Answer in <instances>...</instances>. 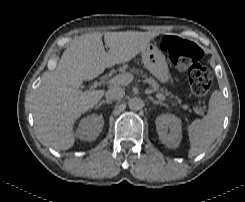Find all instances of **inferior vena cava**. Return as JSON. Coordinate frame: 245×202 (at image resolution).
<instances>
[{
	"instance_id": "1",
	"label": "inferior vena cava",
	"mask_w": 245,
	"mask_h": 202,
	"mask_svg": "<svg viewBox=\"0 0 245 202\" xmlns=\"http://www.w3.org/2000/svg\"><path fill=\"white\" fill-rule=\"evenodd\" d=\"M125 95V92L122 88L116 87V88H112L110 90H108L105 93L106 96V100H119L121 98H123Z\"/></svg>"
}]
</instances>
